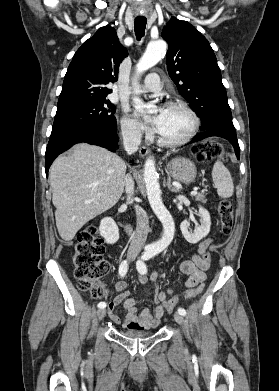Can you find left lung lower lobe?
Instances as JSON below:
<instances>
[{"label":"left lung lower lobe","instance_id":"obj_1","mask_svg":"<svg viewBox=\"0 0 279 391\" xmlns=\"http://www.w3.org/2000/svg\"><path fill=\"white\" fill-rule=\"evenodd\" d=\"M211 136H218V137H223V138L227 139L233 145L236 156L239 159L240 148H239V144L237 141L236 132H230V131L219 129V128H212V129H208V130L196 135L191 140L190 143L197 142L199 140H202L204 138L211 137Z\"/></svg>","mask_w":279,"mask_h":391}]
</instances>
